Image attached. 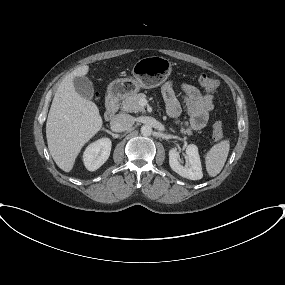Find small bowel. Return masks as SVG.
I'll list each match as a JSON object with an SVG mask.
<instances>
[{
    "mask_svg": "<svg viewBox=\"0 0 285 285\" xmlns=\"http://www.w3.org/2000/svg\"><path fill=\"white\" fill-rule=\"evenodd\" d=\"M181 89L184 93V101L190 114L188 127L193 130H200L209 121L210 113L213 109V95L202 94L195 86L182 83ZM162 95L166 103V110L170 117L178 119L181 107L176 98L174 83L166 82L162 86Z\"/></svg>",
    "mask_w": 285,
    "mask_h": 285,
    "instance_id": "obj_1",
    "label": "small bowel"
}]
</instances>
